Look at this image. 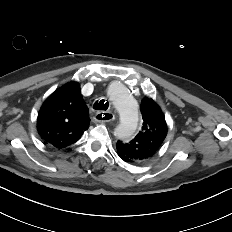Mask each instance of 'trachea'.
<instances>
[{
    "label": "trachea",
    "mask_w": 232,
    "mask_h": 232,
    "mask_svg": "<svg viewBox=\"0 0 232 232\" xmlns=\"http://www.w3.org/2000/svg\"><path fill=\"white\" fill-rule=\"evenodd\" d=\"M108 107H109V103L104 99H102L100 101H96L94 103V105H93V108L95 110H103V111H105V110L108 109Z\"/></svg>",
    "instance_id": "obj_1"
}]
</instances>
